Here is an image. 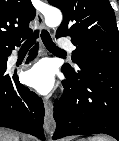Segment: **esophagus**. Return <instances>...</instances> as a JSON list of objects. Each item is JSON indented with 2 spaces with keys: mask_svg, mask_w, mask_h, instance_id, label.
<instances>
[{
  "mask_svg": "<svg viewBox=\"0 0 119 141\" xmlns=\"http://www.w3.org/2000/svg\"><path fill=\"white\" fill-rule=\"evenodd\" d=\"M35 21L40 29L46 28L44 18L40 12H37ZM44 108H45L44 129L47 133L51 134L55 130L56 123L53 117V105L48 98H45L44 100Z\"/></svg>",
  "mask_w": 119,
  "mask_h": 141,
  "instance_id": "1",
  "label": "esophagus"
}]
</instances>
